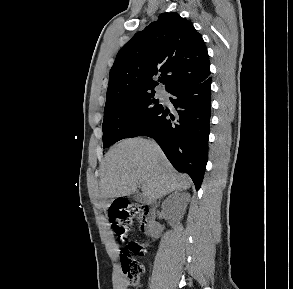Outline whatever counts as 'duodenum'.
<instances>
[{"label": "duodenum", "mask_w": 293, "mask_h": 289, "mask_svg": "<svg viewBox=\"0 0 293 289\" xmlns=\"http://www.w3.org/2000/svg\"><path fill=\"white\" fill-rule=\"evenodd\" d=\"M141 208L142 217L140 220V229L143 233L150 235L156 214V206L153 204H144L141 205Z\"/></svg>", "instance_id": "1"}]
</instances>
